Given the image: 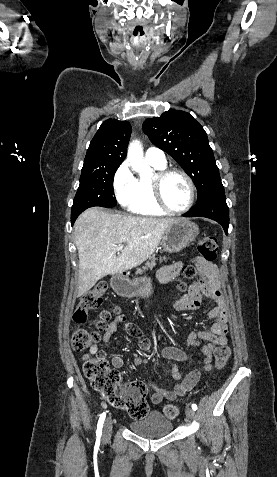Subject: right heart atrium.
<instances>
[{
	"mask_svg": "<svg viewBox=\"0 0 277 477\" xmlns=\"http://www.w3.org/2000/svg\"><path fill=\"white\" fill-rule=\"evenodd\" d=\"M136 178L127 162L122 163L113 177V187L118 202L127 207L135 194Z\"/></svg>",
	"mask_w": 277,
	"mask_h": 477,
	"instance_id": "d8ad5b80",
	"label": "right heart atrium"
}]
</instances>
